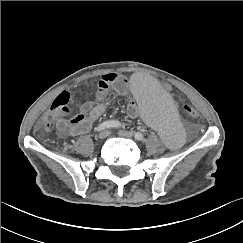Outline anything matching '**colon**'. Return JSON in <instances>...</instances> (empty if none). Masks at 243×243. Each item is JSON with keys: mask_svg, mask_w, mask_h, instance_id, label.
Masks as SVG:
<instances>
[{"mask_svg": "<svg viewBox=\"0 0 243 243\" xmlns=\"http://www.w3.org/2000/svg\"><path fill=\"white\" fill-rule=\"evenodd\" d=\"M71 97L68 92H61L52 102L50 109L45 113L42 120V127L49 130L57 117L66 112H70ZM182 111L193 119L194 122L202 121V113L190 103L182 104Z\"/></svg>", "mask_w": 243, "mask_h": 243, "instance_id": "colon-1", "label": "colon"}]
</instances>
